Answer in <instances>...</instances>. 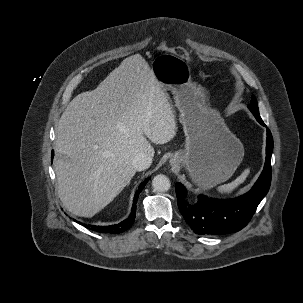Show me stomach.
Returning <instances> with one entry per match:
<instances>
[{"label":"stomach","mask_w":303,"mask_h":303,"mask_svg":"<svg viewBox=\"0 0 303 303\" xmlns=\"http://www.w3.org/2000/svg\"><path fill=\"white\" fill-rule=\"evenodd\" d=\"M151 70L161 88L172 92L186 137L185 149L174 153L170 164L183 166L202 189L227 181L242 162L244 147L209 107L206 90L192 82L188 63L163 54L154 59Z\"/></svg>","instance_id":"0dacf381"}]
</instances>
